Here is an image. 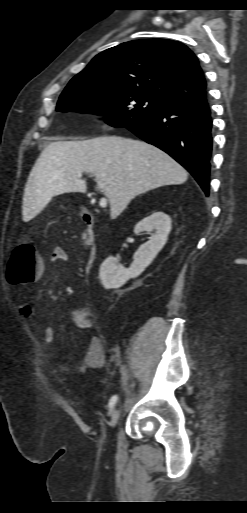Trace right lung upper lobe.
Listing matches in <instances>:
<instances>
[{
	"instance_id": "obj_1",
	"label": "right lung upper lobe",
	"mask_w": 247,
	"mask_h": 513,
	"mask_svg": "<svg viewBox=\"0 0 247 513\" xmlns=\"http://www.w3.org/2000/svg\"><path fill=\"white\" fill-rule=\"evenodd\" d=\"M71 81L128 88L176 104L206 96V81L194 53L167 39L122 43L97 56Z\"/></svg>"
}]
</instances>
